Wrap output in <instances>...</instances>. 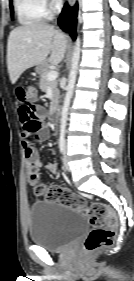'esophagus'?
<instances>
[{
    "mask_svg": "<svg viewBox=\"0 0 134 281\" xmlns=\"http://www.w3.org/2000/svg\"><path fill=\"white\" fill-rule=\"evenodd\" d=\"M76 0H68V4L70 7L74 6Z\"/></svg>",
    "mask_w": 134,
    "mask_h": 281,
    "instance_id": "1",
    "label": "esophagus"
}]
</instances>
